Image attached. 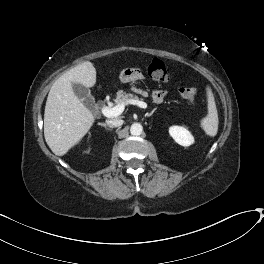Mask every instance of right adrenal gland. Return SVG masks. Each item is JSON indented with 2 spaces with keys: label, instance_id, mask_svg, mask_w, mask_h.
Masks as SVG:
<instances>
[{
  "label": "right adrenal gland",
  "instance_id": "right-adrenal-gland-1",
  "mask_svg": "<svg viewBox=\"0 0 264 264\" xmlns=\"http://www.w3.org/2000/svg\"><path fill=\"white\" fill-rule=\"evenodd\" d=\"M99 125L105 127L107 130H111V128L105 123H99Z\"/></svg>",
  "mask_w": 264,
  "mask_h": 264
}]
</instances>
